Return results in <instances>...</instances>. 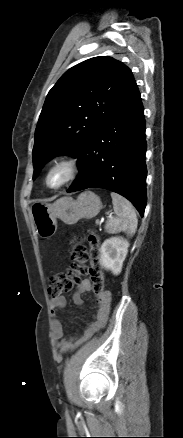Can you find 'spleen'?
Returning a JSON list of instances; mask_svg holds the SVG:
<instances>
[{"label":"spleen","mask_w":183,"mask_h":438,"mask_svg":"<svg viewBox=\"0 0 183 438\" xmlns=\"http://www.w3.org/2000/svg\"><path fill=\"white\" fill-rule=\"evenodd\" d=\"M115 217L109 216L105 230L107 233L114 234L125 232L128 236H133L137 230L138 219L131 203L124 197L111 193Z\"/></svg>","instance_id":"spleen-1"}]
</instances>
